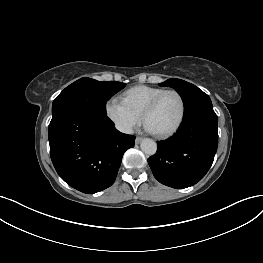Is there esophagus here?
Returning <instances> with one entry per match:
<instances>
[{
	"instance_id": "obj_1",
	"label": "esophagus",
	"mask_w": 263,
	"mask_h": 263,
	"mask_svg": "<svg viewBox=\"0 0 263 263\" xmlns=\"http://www.w3.org/2000/svg\"><path fill=\"white\" fill-rule=\"evenodd\" d=\"M142 138L141 137H136L135 139V144H139L141 142Z\"/></svg>"
}]
</instances>
